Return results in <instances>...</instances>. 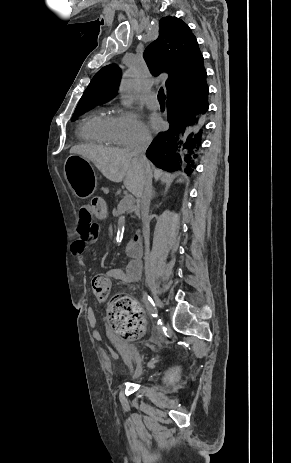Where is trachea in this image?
Here are the masks:
<instances>
[{"label":"trachea","mask_w":291,"mask_h":463,"mask_svg":"<svg viewBox=\"0 0 291 463\" xmlns=\"http://www.w3.org/2000/svg\"><path fill=\"white\" fill-rule=\"evenodd\" d=\"M165 95H164V90L161 88L158 92V100L159 102H165Z\"/></svg>","instance_id":"trachea-1"}]
</instances>
